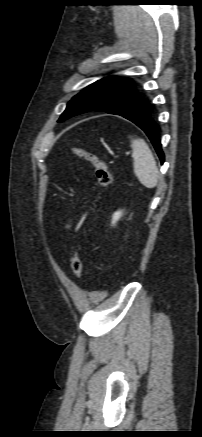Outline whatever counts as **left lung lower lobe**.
Wrapping results in <instances>:
<instances>
[{"label":"left lung lower lobe","mask_w":202,"mask_h":437,"mask_svg":"<svg viewBox=\"0 0 202 437\" xmlns=\"http://www.w3.org/2000/svg\"><path fill=\"white\" fill-rule=\"evenodd\" d=\"M151 105L145 98H136L123 105L115 107L107 113L120 115L139 126L153 144L161 163L164 162V154L159 139V127L151 116Z\"/></svg>","instance_id":"obj_1"}]
</instances>
